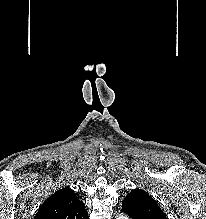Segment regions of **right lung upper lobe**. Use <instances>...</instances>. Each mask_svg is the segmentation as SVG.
<instances>
[{
    "label": "right lung upper lobe",
    "mask_w": 206,
    "mask_h": 219,
    "mask_svg": "<svg viewBox=\"0 0 206 219\" xmlns=\"http://www.w3.org/2000/svg\"><path fill=\"white\" fill-rule=\"evenodd\" d=\"M34 219H89L85 204L69 187L57 190L39 208Z\"/></svg>",
    "instance_id": "obj_1"
}]
</instances>
